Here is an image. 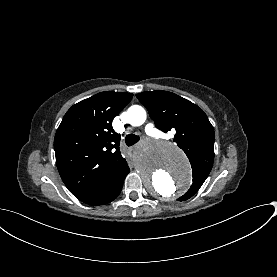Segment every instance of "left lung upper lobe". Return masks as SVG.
Here are the masks:
<instances>
[{"label":"left lung upper lobe","instance_id":"5c2ea615","mask_svg":"<svg viewBox=\"0 0 277 277\" xmlns=\"http://www.w3.org/2000/svg\"><path fill=\"white\" fill-rule=\"evenodd\" d=\"M147 108L157 128L176 131L174 142L189 158L193 183L179 198L186 201L202 186L214 161V129L208 117L197 105L167 91H146L136 95Z\"/></svg>","mask_w":277,"mask_h":277}]
</instances>
